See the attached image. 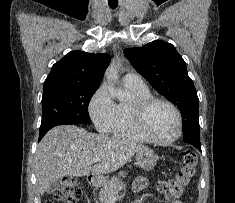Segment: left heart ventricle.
Returning a JSON list of instances; mask_svg holds the SVG:
<instances>
[{
	"instance_id": "1",
	"label": "left heart ventricle",
	"mask_w": 235,
	"mask_h": 203,
	"mask_svg": "<svg viewBox=\"0 0 235 203\" xmlns=\"http://www.w3.org/2000/svg\"><path fill=\"white\" fill-rule=\"evenodd\" d=\"M146 126L154 136L170 138L177 132V118L168 105L156 103L147 112Z\"/></svg>"
}]
</instances>
